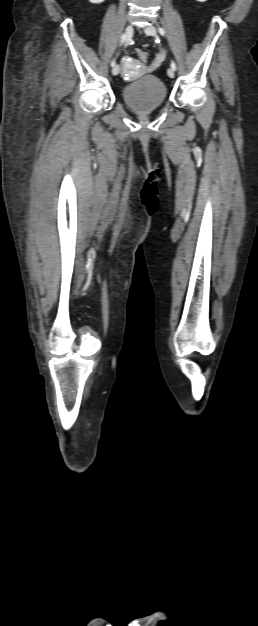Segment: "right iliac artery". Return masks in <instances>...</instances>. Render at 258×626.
I'll use <instances>...</instances> for the list:
<instances>
[{"instance_id": "1", "label": "right iliac artery", "mask_w": 258, "mask_h": 626, "mask_svg": "<svg viewBox=\"0 0 258 626\" xmlns=\"http://www.w3.org/2000/svg\"><path fill=\"white\" fill-rule=\"evenodd\" d=\"M124 41H125V35L123 34V35L121 36L120 45H122V44L124 43ZM115 65H116V59L114 58V59L111 61V67H115Z\"/></svg>"}]
</instances>
